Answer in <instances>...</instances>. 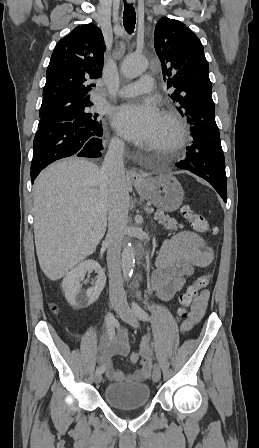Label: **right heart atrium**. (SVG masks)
<instances>
[{
    "mask_svg": "<svg viewBox=\"0 0 259 448\" xmlns=\"http://www.w3.org/2000/svg\"><path fill=\"white\" fill-rule=\"evenodd\" d=\"M114 144L119 147V146L122 145V141L119 138H115L114 139Z\"/></svg>",
    "mask_w": 259,
    "mask_h": 448,
    "instance_id": "right-heart-atrium-1",
    "label": "right heart atrium"
}]
</instances>
